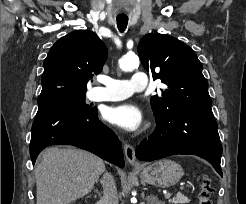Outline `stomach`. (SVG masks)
<instances>
[{
	"instance_id": "0dacf381",
	"label": "stomach",
	"mask_w": 246,
	"mask_h": 204,
	"mask_svg": "<svg viewBox=\"0 0 246 204\" xmlns=\"http://www.w3.org/2000/svg\"><path fill=\"white\" fill-rule=\"evenodd\" d=\"M183 175L181 165L169 159L159 160L141 169L142 180L157 187L173 186Z\"/></svg>"
}]
</instances>
